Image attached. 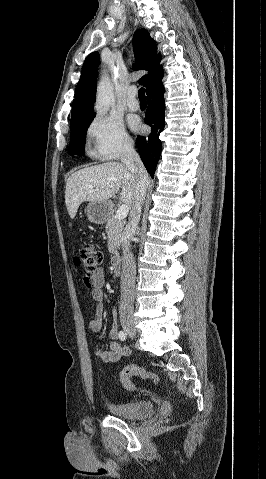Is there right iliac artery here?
Returning a JSON list of instances; mask_svg holds the SVG:
<instances>
[{
    "label": "right iliac artery",
    "instance_id": "obj_1",
    "mask_svg": "<svg viewBox=\"0 0 266 479\" xmlns=\"http://www.w3.org/2000/svg\"><path fill=\"white\" fill-rule=\"evenodd\" d=\"M118 337H119V339H120L121 341H125V340L127 339V333L124 332V331H120V332L118 333Z\"/></svg>",
    "mask_w": 266,
    "mask_h": 479
}]
</instances>
